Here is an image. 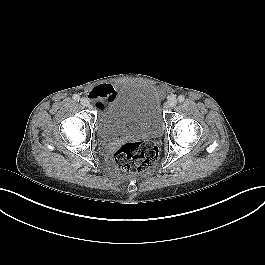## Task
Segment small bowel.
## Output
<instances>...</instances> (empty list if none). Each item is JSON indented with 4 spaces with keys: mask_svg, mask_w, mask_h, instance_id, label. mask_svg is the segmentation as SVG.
<instances>
[{
    "mask_svg": "<svg viewBox=\"0 0 265 265\" xmlns=\"http://www.w3.org/2000/svg\"><path fill=\"white\" fill-rule=\"evenodd\" d=\"M116 87L111 84H101L90 90L89 96L94 101L96 109L101 107L116 94Z\"/></svg>",
    "mask_w": 265,
    "mask_h": 265,
    "instance_id": "obj_1",
    "label": "small bowel"
}]
</instances>
